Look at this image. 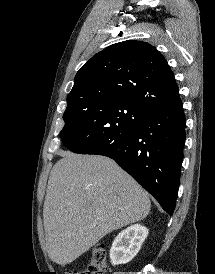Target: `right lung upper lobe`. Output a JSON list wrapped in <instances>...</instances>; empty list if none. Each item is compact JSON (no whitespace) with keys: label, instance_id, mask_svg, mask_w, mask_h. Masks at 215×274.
<instances>
[{"label":"right lung upper lobe","instance_id":"1","mask_svg":"<svg viewBox=\"0 0 215 274\" xmlns=\"http://www.w3.org/2000/svg\"><path fill=\"white\" fill-rule=\"evenodd\" d=\"M123 101L145 111L181 102L174 74L161 53L142 41L113 44L77 72L67 102Z\"/></svg>","mask_w":215,"mask_h":274}]
</instances>
